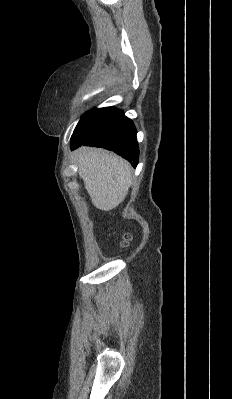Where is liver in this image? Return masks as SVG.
<instances>
[{"label":"liver","instance_id":"1","mask_svg":"<svg viewBox=\"0 0 232 399\" xmlns=\"http://www.w3.org/2000/svg\"><path fill=\"white\" fill-rule=\"evenodd\" d=\"M78 174L95 207L109 211L125 200L132 184L129 162L100 148H78Z\"/></svg>","mask_w":232,"mask_h":399}]
</instances>
